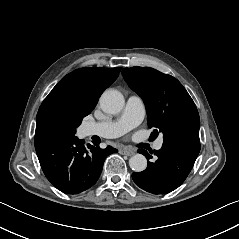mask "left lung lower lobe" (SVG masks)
Here are the masks:
<instances>
[{"instance_id": "obj_1", "label": "left lung lower lobe", "mask_w": 239, "mask_h": 239, "mask_svg": "<svg viewBox=\"0 0 239 239\" xmlns=\"http://www.w3.org/2000/svg\"><path fill=\"white\" fill-rule=\"evenodd\" d=\"M200 151L199 136L179 135L164 140L160 150H154L157 160L146 150L138 152L148 160L147 168L132 173L137 186L153 194H165L178 188L187 178ZM153 154V152H151Z\"/></svg>"}]
</instances>
